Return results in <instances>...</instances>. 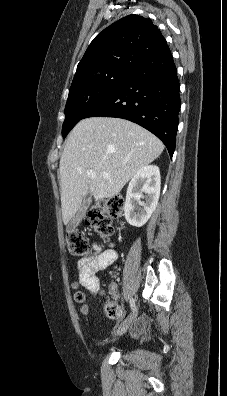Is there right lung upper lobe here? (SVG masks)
Masks as SVG:
<instances>
[{"label":"right lung upper lobe","instance_id":"obj_1","mask_svg":"<svg viewBox=\"0 0 227 396\" xmlns=\"http://www.w3.org/2000/svg\"><path fill=\"white\" fill-rule=\"evenodd\" d=\"M165 46V38L150 19L128 15L94 38L77 66L72 85L109 69L133 70Z\"/></svg>","mask_w":227,"mask_h":396}]
</instances>
